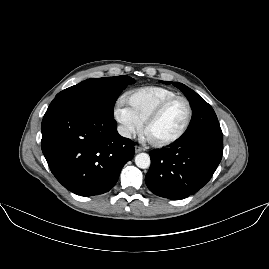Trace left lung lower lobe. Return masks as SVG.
Segmentation results:
<instances>
[{
	"instance_id": "1",
	"label": "left lung lower lobe",
	"mask_w": 269,
	"mask_h": 269,
	"mask_svg": "<svg viewBox=\"0 0 269 269\" xmlns=\"http://www.w3.org/2000/svg\"><path fill=\"white\" fill-rule=\"evenodd\" d=\"M222 132H208L181 139L170 148L150 151L151 166L145 176L154 194L184 199L205 186L222 159Z\"/></svg>"
}]
</instances>
